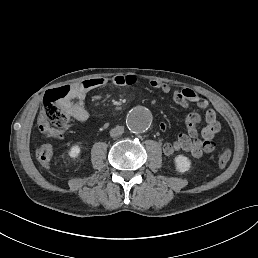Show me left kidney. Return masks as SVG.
I'll return each instance as SVG.
<instances>
[{"instance_id":"obj_1","label":"left kidney","mask_w":258,"mask_h":258,"mask_svg":"<svg viewBox=\"0 0 258 258\" xmlns=\"http://www.w3.org/2000/svg\"><path fill=\"white\" fill-rule=\"evenodd\" d=\"M177 162V167L179 168L180 171H185L189 167V161L186 157L179 156L176 160Z\"/></svg>"}]
</instances>
